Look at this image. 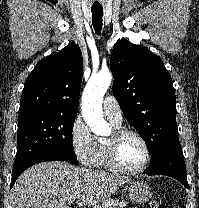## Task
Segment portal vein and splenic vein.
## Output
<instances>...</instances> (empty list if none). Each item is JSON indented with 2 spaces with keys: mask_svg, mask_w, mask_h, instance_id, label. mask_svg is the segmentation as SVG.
I'll return each instance as SVG.
<instances>
[{
  "mask_svg": "<svg viewBox=\"0 0 199 208\" xmlns=\"http://www.w3.org/2000/svg\"><path fill=\"white\" fill-rule=\"evenodd\" d=\"M67 201H68V203H72V202L75 201V198H74V197H69V198L67 199Z\"/></svg>",
  "mask_w": 199,
  "mask_h": 208,
  "instance_id": "portal-vein-and-splenic-vein-1",
  "label": "portal vein and splenic vein"
}]
</instances>
